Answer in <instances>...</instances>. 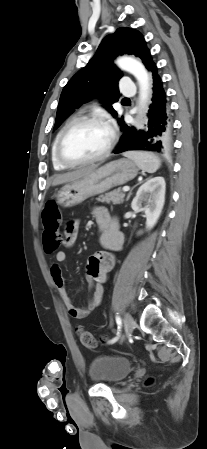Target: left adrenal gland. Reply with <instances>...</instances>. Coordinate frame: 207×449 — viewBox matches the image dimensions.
Segmentation results:
<instances>
[{
  "label": "left adrenal gland",
  "instance_id": "left-adrenal-gland-1",
  "mask_svg": "<svg viewBox=\"0 0 207 449\" xmlns=\"http://www.w3.org/2000/svg\"><path fill=\"white\" fill-rule=\"evenodd\" d=\"M131 192H132V190H130V192H129V194H128L127 198H126V200H128V199L130 198V196H131Z\"/></svg>",
  "mask_w": 207,
  "mask_h": 449
}]
</instances>
